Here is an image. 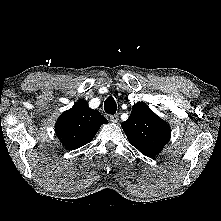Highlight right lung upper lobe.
I'll list each match as a JSON object with an SVG mask.
<instances>
[{
  "mask_svg": "<svg viewBox=\"0 0 221 221\" xmlns=\"http://www.w3.org/2000/svg\"><path fill=\"white\" fill-rule=\"evenodd\" d=\"M108 123L98 110L89 108L85 100L61 114L56 135L68 150H75L92 140L102 124Z\"/></svg>",
  "mask_w": 221,
  "mask_h": 221,
  "instance_id": "1",
  "label": "right lung upper lobe"
}]
</instances>
